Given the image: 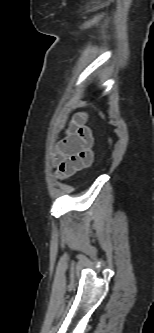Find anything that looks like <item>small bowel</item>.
Here are the masks:
<instances>
[{"label": "small bowel", "instance_id": "obj_1", "mask_svg": "<svg viewBox=\"0 0 154 333\" xmlns=\"http://www.w3.org/2000/svg\"><path fill=\"white\" fill-rule=\"evenodd\" d=\"M94 136L85 124V116H79L66 138L59 142L55 153L57 177L66 179L89 167L94 160Z\"/></svg>", "mask_w": 154, "mask_h": 333}]
</instances>
